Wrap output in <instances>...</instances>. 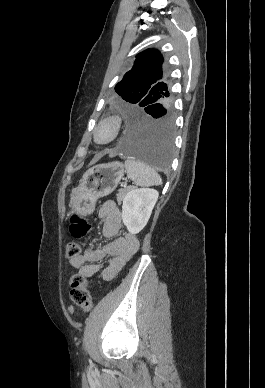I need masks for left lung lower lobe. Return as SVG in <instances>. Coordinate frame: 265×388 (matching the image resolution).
<instances>
[{
  "instance_id": "obj_1",
  "label": "left lung lower lobe",
  "mask_w": 265,
  "mask_h": 388,
  "mask_svg": "<svg viewBox=\"0 0 265 388\" xmlns=\"http://www.w3.org/2000/svg\"><path fill=\"white\" fill-rule=\"evenodd\" d=\"M122 115L124 128L116 146L117 151L155 169H168L173 151L172 104H154L142 109L124 110Z\"/></svg>"
}]
</instances>
